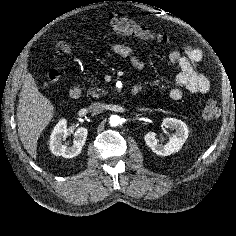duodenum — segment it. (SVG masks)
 I'll use <instances>...</instances> for the list:
<instances>
[{"label": "duodenum", "mask_w": 236, "mask_h": 236, "mask_svg": "<svg viewBox=\"0 0 236 236\" xmlns=\"http://www.w3.org/2000/svg\"><path fill=\"white\" fill-rule=\"evenodd\" d=\"M131 93H132V95L135 96V95H137L138 92L135 89H133L131 91ZM81 95H82V91H81V89L79 87H73L69 91V96L73 100L79 99L81 97Z\"/></svg>", "instance_id": "1"}]
</instances>
